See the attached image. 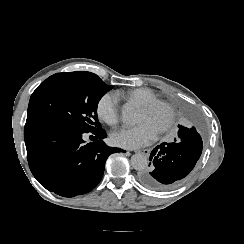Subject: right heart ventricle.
Instances as JSON below:
<instances>
[{"label": "right heart ventricle", "mask_w": 244, "mask_h": 244, "mask_svg": "<svg viewBox=\"0 0 244 244\" xmlns=\"http://www.w3.org/2000/svg\"><path fill=\"white\" fill-rule=\"evenodd\" d=\"M119 99H129L137 102L140 106L147 103L157 102L154 92L148 88H135L129 90H118L115 93ZM165 109V107H163Z\"/></svg>", "instance_id": "right-heart-ventricle-1"}]
</instances>
